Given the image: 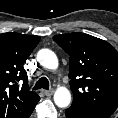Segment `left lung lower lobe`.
Returning <instances> with one entry per match:
<instances>
[{"mask_svg": "<svg viewBox=\"0 0 118 118\" xmlns=\"http://www.w3.org/2000/svg\"><path fill=\"white\" fill-rule=\"evenodd\" d=\"M67 118H109L111 114L75 108L71 106L65 112Z\"/></svg>", "mask_w": 118, "mask_h": 118, "instance_id": "0a47b994", "label": "left lung lower lobe"}]
</instances>
